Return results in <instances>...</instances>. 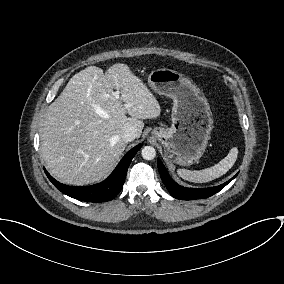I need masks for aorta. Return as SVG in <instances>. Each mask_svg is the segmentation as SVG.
<instances>
[{
  "instance_id": "762f6f07",
  "label": "aorta",
  "mask_w": 284,
  "mask_h": 284,
  "mask_svg": "<svg viewBox=\"0 0 284 284\" xmlns=\"http://www.w3.org/2000/svg\"><path fill=\"white\" fill-rule=\"evenodd\" d=\"M141 155L145 160H152L156 156V150L152 146H145L141 151Z\"/></svg>"
}]
</instances>
